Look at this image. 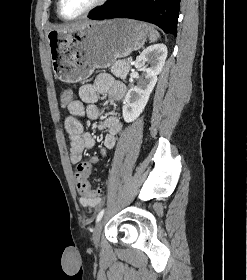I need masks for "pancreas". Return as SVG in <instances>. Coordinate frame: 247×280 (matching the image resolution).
Returning <instances> with one entry per match:
<instances>
[{
    "instance_id": "obj_1",
    "label": "pancreas",
    "mask_w": 247,
    "mask_h": 280,
    "mask_svg": "<svg viewBox=\"0 0 247 280\" xmlns=\"http://www.w3.org/2000/svg\"><path fill=\"white\" fill-rule=\"evenodd\" d=\"M131 65L128 61L125 60H117L113 63L111 67V72L118 78L125 79Z\"/></svg>"
}]
</instances>
